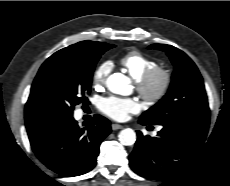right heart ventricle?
Returning <instances> with one entry per match:
<instances>
[{
    "label": "right heart ventricle",
    "instance_id": "right-heart-ventricle-1",
    "mask_svg": "<svg viewBox=\"0 0 230 186\" xmlns=\"http://www.w3.org/2000/svg\"><path fill=\"white\" fill-rule=\"evenodd\" d=\"M120 65L137 81L145 72L157 66V61L138 51L132 50L119 59Z\"/></svg>",
    "mask_w": 230,
    "mask_h": 186
}]
</instances>
